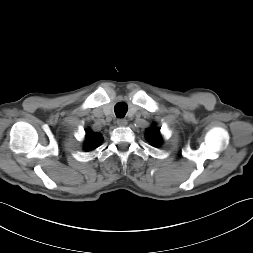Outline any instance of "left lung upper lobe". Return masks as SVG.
Segmentation results:
<instances>
[{
  "label": "left lung upper lobe",
  "mask_w": 253,
  "mask_h": 253,
  "mask_svg": "<svg viewBox=\"0 0 253 253\" xmlns=\"http://www.w3.org/2000/svg\"><path fill=\"white\" fill-rule=\"evenodd\" d=\"M159 131L160 129H156L155 126L147 130V139L153 144V146H159L162 142V137Z\"/></svg>",
  "instance_id": "obj_1"
}]
</instances>
